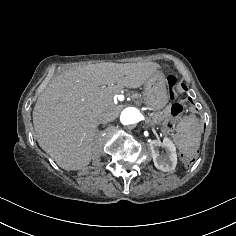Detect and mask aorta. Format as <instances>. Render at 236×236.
Returning a JSON list of instances; mask_svg holds the SVG:
<instances>
[{"label": "aorta", "instance_id": "aorta-1", "mask_svg": "<svg viewBox=\"0 0 236 236\" xmlns=\"http://www.w3.org/2000/svg\"><path fill=\"white\" fill-rule=\"evenodd\" d=\"M142 118L140 111L135 107L125 108L120 115V121L123 125L138 123Z\"/></svg>", "mask_w": 236, "mask_h": 236}]
</instances>
